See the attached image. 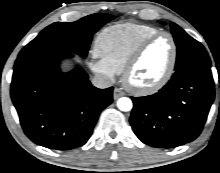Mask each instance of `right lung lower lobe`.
<instances>
[{
  "label": "right lung lower lobe",
  "instance_id": "1",
  "mask_svg": "<svg viewBox=\"0 0 220 173\" xmlns=\"http://www.w3.org/2000/svg\"><path fill=\"white\" fill-rule=\"evenodd\" d=\"M64 49H48L18 57L11 97L25 134L34 143L55 150L84 145L101 111L113 101V87L98 89L80 68L59 70Z\"/></svg>",
  "mask_w": 220,
  "mask_h": 173
}]
</instances>
